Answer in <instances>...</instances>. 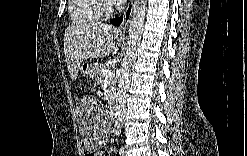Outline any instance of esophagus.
<instances>
[{
  "label": "esophagus",
  "instance_id": "obj_1",
  "mask_svg": "<svg viewBox=\"0 0 247 156\" xmlns=\"http://www.w3.org/2000/svg\"><path fill=\"white\" fill-rule=\"evenodd\" d=\"M133 8H134V2H133V0H130L125 11L123 12V20L119 26L120 32L125 33L127 31L128 25H129L131 17H132Z\"/></svg>",
  "mask_w": 247,
  "mask_h": 156
}]
</instances>
